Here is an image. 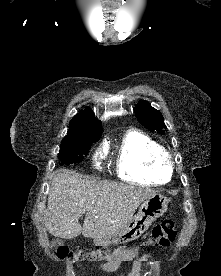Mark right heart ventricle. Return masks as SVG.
Listing matches in <instances>:
<instances>
[{
	"label": "right heart ventricle",
	"instance_id": "e07e8e85",
	"mask_svg": "<svg viewBox=\"0 0 221 276\" xmlns=\"http://www.w3.org/2000/svg\"><path fill=\"white\" fill-rule=\"evenodd\" d=\"M161 145L139 131H128L119 146L117 174L127 182L137 184H162L171 177V169L158 161Z\"/></svg>",
	"mask_w": 221,
	"mask_h": 276
}]
</instances>
